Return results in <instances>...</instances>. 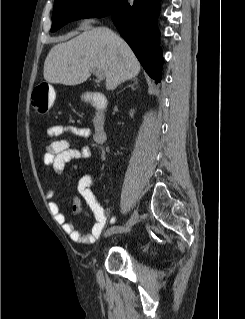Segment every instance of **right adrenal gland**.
Masks as SVG:
<instances>
[{"instance_id": "obj_1", "label": "right adrenal gland", "mask_w": 245, "mask_h": 319, "mask_svg": "<svg viewBox=\"0 0 245 319\" xmlns=\"http://www.w3.org/2000/svg\"><path fill=\"white\" fill-rule=\"evenodd\" d=\"M137 84H138L137 79H133V84L128 85L127 87H131L133 90H135V89H136L135 86H136Z\"/></svg>"}]
</instances>
